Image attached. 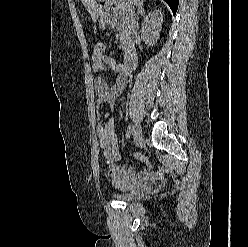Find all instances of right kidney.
<instances>
[{
  "instance_id": "1",
  "label": "right kidney",
  "mask_w": 248,
  "mask_h": 247,
  "mask_svg": "<svg viewBox=\"0 0 248 247\" xmlns=\"http://www.w3.org/2000/svg\"><path fill=\"white\" fill-rule=\"evenodd\" d=\"M163 13L160 10H154L144 19L141 28V38L146 44L154 45L162 28Z\"/></svg>"
}]
</instances>
